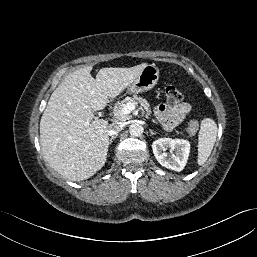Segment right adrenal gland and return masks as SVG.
I'll list each match as a JSON object with an SVG mask.
<instances>
[{"mask_svg":"<svg viewBox=\"0 0 257 257\" xmlns=\"http://www.w3.org/2000/svg\"><path fill=\"white\" fill-rule=\"evenodd\" d=\"M116 137H117V135L112 136L111 139L109 140V144H111L112 140L115 139Z\"/></svg>","mask_w":257,"mask_h":257,"instance_id":"2a0ac1e0","label":"right adrenal gland"}]
</instances>
